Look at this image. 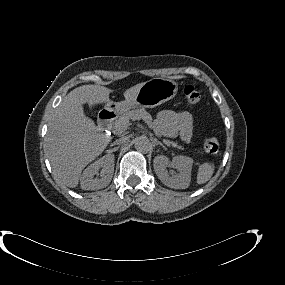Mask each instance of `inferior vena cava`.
<instances>
[{
  "label": "inferior vena cava",
  "instance_id": "1",
  "mask_svg": "<svg viewBox=\"0 0 285 285\" xmlns=\"http://www.w3.org/2000/svg\"><path fill=\"white\" fill-rule=\"evenodd\" d=\"M126 142H127V138L126 137H122V138L116 139L114 141V144L121 145V144H125Z\"/></svg>",
  "mask_w": 285,
  "mask_h": 285
}]
</instances>
